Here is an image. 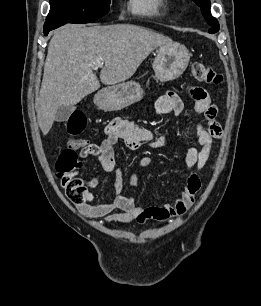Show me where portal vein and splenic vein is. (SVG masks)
Masks as SVG:
<instances>
[{
  "mask_svg": "<svg viewBox=\"0 0 261 306\" xmlns=\"http://www.w3.org/2000/svg\"><path fill=\"white\" fill-rule=\"evenodd\" d=\"M104 64L103 60L102 59H97L96 63H94V65L96 67H102Z\"/></svg>",
  "mask_w": 261,
  "mask_h": 306,
  "instance_id": "portal-vein-and-splenic-vein-1",
  "label": "portal vein and splenic vein"
}]
</instances>
